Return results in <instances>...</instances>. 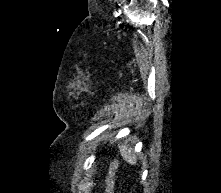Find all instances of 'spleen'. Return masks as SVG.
Wrapping results in <instances>:
<instances>
[{"label": "spleen", "instance_id": "1", "mask_svg": "<svg viewBox=\"0 0 221 193\" xmlns=\"http://www.w3.org/2000/svg\"><path fill=\"white\" fill-rule=\"evenodd\" d=\"M120 153L125 161L130 164H136V156L133 154L132 148H128L127 146L119 145Z\"/></svg>", "mask_w": 221, "mask_h": 193}]
</instances>
